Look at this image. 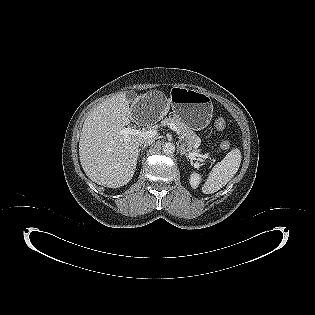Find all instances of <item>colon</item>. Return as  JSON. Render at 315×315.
Segmentation results:
<instances>
[{
    "instance_id": "obj_1",
    "label": "colon",
    "mask_w": 315,
    "mask_h": 315,
    "mask_svg": "<svg viewBox=\"0 0 315 315\" xmlns=\"http://www.w3.org/2000/svg\"><path fill=\"white\" fill-rule=\"evenodd\" d=\"M215 127H216V129H217L218 131H223V130H225L226 127H227V123H226L225 119H223V118H218V119H216V121H215ZM221 147H222L223 149H228V148L230 147V143L227 142V141H224V142H222Z\"/></svg>"
}]
</instances>
